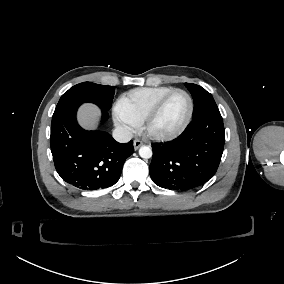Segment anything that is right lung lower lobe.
<instances>
[{
	"mask_svg": "<svg viewBox=\"0 0 284 284\" xmlns=\"http://www.w3.org/2000/svg\"><path fill=\"white\" fill-rule=\"evenodd\" d=\"M80 105H70L53 114L50 145L58 174L67 183L83 190L114 185L123 164L133 154V141L121 144L103 131H86L76 120ZM103 120L108 118L102 110Z\"/></svg>",
	"mask_w": 284,
	"mask_h": 284,
	"instance_id": "obj_1",
	"label": "right lung lower lobe"
}]
</instances>
